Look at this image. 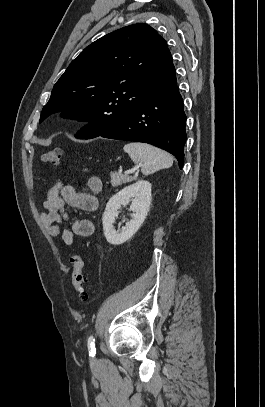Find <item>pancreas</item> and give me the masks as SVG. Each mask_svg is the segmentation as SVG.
Segmentation results:
<instances>
[{
  "label": "pancreas",
  "instance_id": "pancreas-1",
  "mask_svg": "<svg viewBox=\"0 0 265 407\" xmlns=\"http://www.w3.org/2000/svg\"><path fill=\"white\" fill-rule=\"evenodd\" d=\"M110 178H111L110 182L113 187H118L122 184L129 183V182H132L137 179V177H135V176L132 177V176L123 175V174H120L117 172H111Z\"/></svg>",
  "mask_w": 265,
  "mask_h": 407
}]
</instances>
